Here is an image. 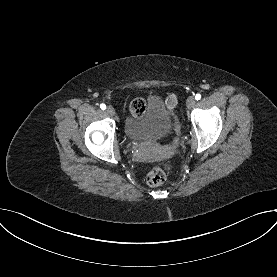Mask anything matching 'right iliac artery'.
Listing matches in <instances>:
<instances>
[{"mask_svg":"<svg viewBox=\"0 0 277 277\" xmlns=\"http://www.w3.org/2000/svg\"><path fill=\"white\" fill-rule=\"evenodd\" d=\"M100 108H101L102 110H105V109H106V105H105V104H101V105H100Z\"/></svg>","mask_w":277,"mask_h":277,"instance_id":"right-iliac-artery-1","label":"right iliac artery"}]
</instances>
